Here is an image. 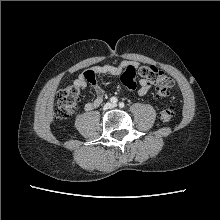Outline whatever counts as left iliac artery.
Returning <instances> with one entry per match:
<instances>
[{"label":"left iliac artery","mask_w":220,"mask_h":220,"mask_svg":"<svg viewBox=\"0 0 220 220\" xmlns=\"http://www.w3.org/2000/svg\"><path fill=\"white\" fill-rule=\"evenodd\" d=\"M124 106H125V104H124L123 102H120V103H119V107H120V108H123Z\"/></svg>","instance_id":"left-iliac-artery-1"}]
</instances>
